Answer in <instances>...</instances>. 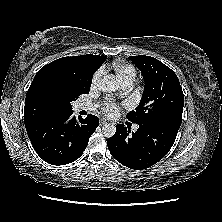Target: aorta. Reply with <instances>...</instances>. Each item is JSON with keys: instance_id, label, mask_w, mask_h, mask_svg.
I'll return each mask as SVG.
<instances>
[{"instance_id": "1", "label": "aorta", "mask_w": 222, "mask_h": 222, "mask_svg": "<svg viewBox=\"0 0 222 222\" xmlns=\"http://www.w3.org/2000/svg\"><path fill=\"white\" fill-rule=\"evenodd\" d=\"M98 89L102 92H114L118 89V85L112 75L105 76L98 84ZM116 132L115 125L106 123L102 127V133L105 137L110 138Z\"/></svg>"}]
</instances>
